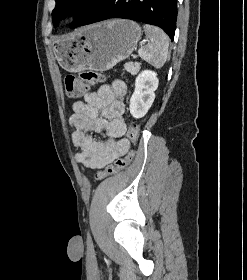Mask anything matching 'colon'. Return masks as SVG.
Instances as JSON below:
<instances>
[{"instance_id": "colon-1", "label": "colon", "mask_w": 247, "mask_h": 280, "mask_svg": "<svg viewBox=\"0 0 247 280\" xmlns=\"http://www.w3.org/2000/svg\"><path fill=\"white\" fill-rule=\"evenodd\" d=\"M104 75L101 73L85 70L79 75H68L65 77V93L69 98H78L86 93L89 87L97 82L104 80ZM140 130L136 124H131L127 131V137L129 141L135 146L139 140ZM135 151L130 150L124 158H118L114 163L109 164L103 170H101L96 178L98 180L112 176L122 170H124L134 159Z\"/></svg>"}]
</instances>
